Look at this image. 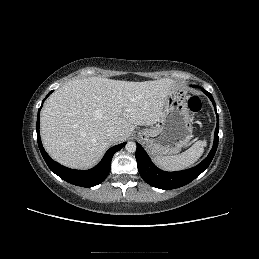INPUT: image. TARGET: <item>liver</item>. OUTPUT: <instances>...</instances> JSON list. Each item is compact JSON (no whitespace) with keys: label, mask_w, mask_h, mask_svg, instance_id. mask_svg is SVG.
<instances>
[{"label":"liver","mask_w":259,"mask_h":259,"mask_svg":"<svg viewBox=\"0 0 259 259\" xmlns=\"http://www.w3.org/2000/svg\"><path fill=\"white\" fill-rule=\"evenodd\" d=\"M174 81L129 82L101 77L65 83L46 101L40 118L41 138L48 154L75 169L94 166L116 142L136 126H152L160 116ZM120 132L112 142L110 128Z\"/></svg>","instance_id":"obj_1"}]
</instances>
